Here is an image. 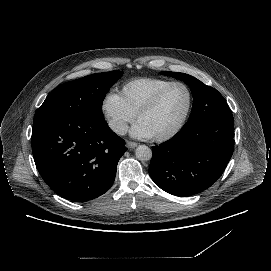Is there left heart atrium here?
Here are the masks:
<instances>
[{"label": "left heart atrium", "mask_w": 271, "mask_h": 271, "mask_svg": "<svg viewBox=\"0 0 271 271\" xmlns=\"http://www.w3.org/2000/svg\"><path fill=\"white\" fill-rule=\"evenodd\" d=\"M131 135L135 139H147L151 137L144 124L140 121L136 123L131 129Z\"/></svg>", "instance_id": "obj_1"}]
</instances>
